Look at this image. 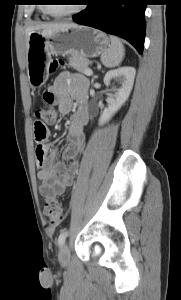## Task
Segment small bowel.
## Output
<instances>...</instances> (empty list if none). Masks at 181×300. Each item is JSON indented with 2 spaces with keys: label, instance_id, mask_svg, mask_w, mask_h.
<instances>
[{
  "label": "small bowel",
  "instance_id": "small-bowel-1",
  "mask_svg": "<svg viewBox=\"0 0 181 300\" xmlns=\"http://www.w3.org/2000/svg\"><path fill=\"white\" fill-rule=\"evenodd\" d=\"M87 90L88 80L84 76L70 73L59 74L47 89V93L53 94V104H57L61 114L70 111L72 96L76 110L69 121L68 141L62 151V159H59L58 150L51 144H43L36 149L37 164L40 166L37 176L42 182L40 193L45 199L64 194L78 173V156L86 141L84 128L90 119Z\"/></svg>",
  "mask_w": 181,
  "mask_h": 300
}]
</instances>
